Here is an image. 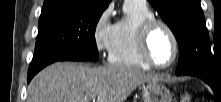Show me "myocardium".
<instances>
[{"label": "myocardium", "instance_id": "1", "mask_svg": "<svg viewBox=\"0 0 221 102\" xmlns=\"http://www.w3.org/2000/svg\"><path fill=\"white\" fill-rule=\"evenodd\" d=\"M157 28H164L170 35L174 45V55L171 61L163 65L156 63L150 55V38ZM137 48L142 61L155 69H167L171 67L176 62L180 52L179 41L174 30L166 22L157 18L149 19L140 26L137 33Z\"/></svg>", "mask_w": 221, "mask_h": 102}]
</instances>
